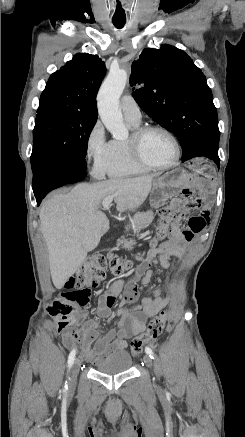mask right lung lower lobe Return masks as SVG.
Returning a JSON list of instances; mask_svg holds the SVG:
<instances>
[{"label":"right lung lower lobe","instance_id":"obj_1","mask_svg":"<svg viewBox=\"0 0 245 437\" xmlns=\"http://www.w3.org/2000/svg\"><path fill=\"white\" fill-rule=\"evenodd\" d=\"M87 175L86 166L49 162L33 171V192L39 205L53 189L80 181Z\"/></svg>","mask_w":245,"mask_h":437}]
</instances>
